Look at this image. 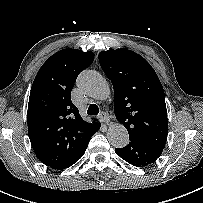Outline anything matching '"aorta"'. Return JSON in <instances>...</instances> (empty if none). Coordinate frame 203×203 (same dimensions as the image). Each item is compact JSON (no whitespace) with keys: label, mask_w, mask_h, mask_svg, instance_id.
Listing matches in <instances>:
<instances>
[{"label":"aorta","mask_w":203,"mask_h":203,"mask_svg":"<svg viewBox=\"0 0 203 203\" xmlns=\"http://www.w3.org/2000/svg\"><path fill=\"white\" fill-rule=\"evenodd\" d=\"M77 86L83 94L96 100H105L110 96L107 81L95 71L82 72L78 77ZM107 139L115 148H123L129 143V134L122 124L115 123L109 127Z\"/></svg>","instance_id":"aorta-1"}]
</instances>
